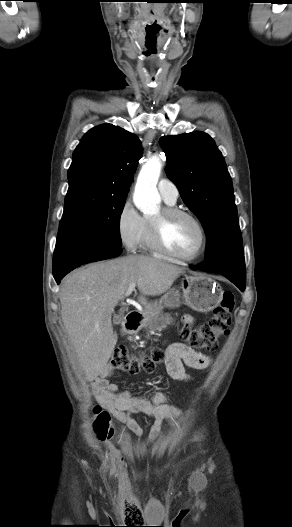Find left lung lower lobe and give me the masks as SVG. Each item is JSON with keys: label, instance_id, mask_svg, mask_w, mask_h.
I'll use <instances>...</instances> for the list:
<instances>
[{"label": "left lung lower lobe", "instance_id": "1", "mask_svg": "<svg viewBox=\"0 0 292 527\" xmlns=\"http://www.w3.org/2000/svg\"><path fill=\"white\" fill-rule=\"evenodd\" d=\"M192 269L216 272L231 282H233L241 291L245 290L246 275L245 262L243 255H222L217 258L207 260L197 266H190Z\"/></svg>", "mask_w": 292, "mask_h": 527}]
</instances>
